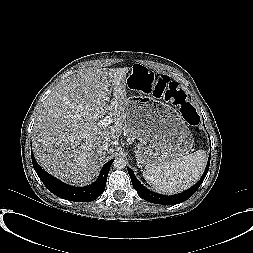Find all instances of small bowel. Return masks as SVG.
<instances>
[{
	"mask_svg": "<svg viewBox=\"0 0 253 253\" xmlns=\"http://www.w3.org/2000/svg\"><path fill=\"white\" fill-rule=\"evenodd\" d=\"M150 78L143 80H134L133 87L148 93L156 94V78L157 75L150 72Z\"/></svg>",
	"mask_w": 253,
	"mask_h": 253,
	"instance_id": "1",
	"label": "small bowel"
}]
</instances>
